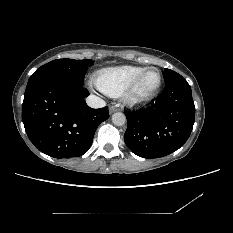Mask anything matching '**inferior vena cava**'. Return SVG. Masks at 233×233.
<instances>
[{
  "label": "inferior vena cava",
  "mask_w": 233,
  "mask_h": 233,
  "mask_svg": "<svg viewBox=\"0 0 233 233\" xmlns=\"http://www.w3.org/2000/svg\"><path fill=\"white\" fill-rule=\"evenodd\" d=\"M86 102L91 108H102L106 105V102L102 98L95 95L88 96Z\"/></svg>",
  "instance_id": "obj_1"
}]
</instances>
